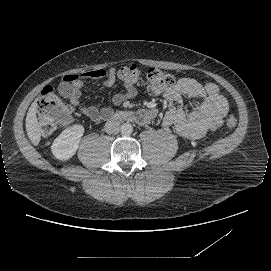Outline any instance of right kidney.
I'll return each instance as SVG.
<instances>
[{
  "label": "right kidney",
  "instance_id": "ca27d5eb",
  "mask_svg": "<svg viewBox=\"0 0 271 271\" xmlns=\"http://www.w3.org/2000/svg\"><path fill=\"white\" fill-rule=\"evenodd\" d=\"M83 133L84 127L82 125L66 128L51 146L53 155L63 161L70 159L76 153Z\"/></svg>",
  "mask_w": 271,
  "mask_h": 271
}]
</instances>
